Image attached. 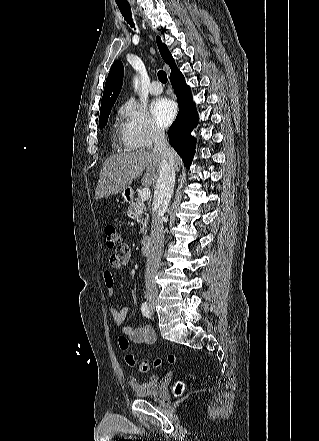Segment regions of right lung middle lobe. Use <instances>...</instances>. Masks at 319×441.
Returning a JSON list of instances; mask_svg holds the SVG:
<instances>
[{
	"instance_id": "right-lung-middle-lobe-1",
	"label": "right lung middle lobe",
	"mask_w": 319,
	"mask_h": 441,
	"mask_svg": "<svg viewBox=\"0 0 319 441\" xmlns=\"http://www.w3.org/2000/svg\"><path fill=\"white\" fill-rule=\"evenodd\" d=\"M110 112H111V107H107L100 110V117H99L100 128H103L107 124Z\"/></svg>"
}]
</instances>
